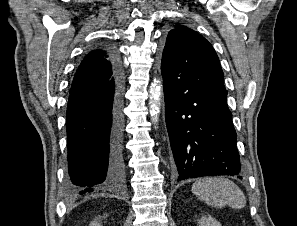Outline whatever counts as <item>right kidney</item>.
<instances>
[{
  "label": "right kidney",
  "instance_id": "obj_1",
  "mask_svg": "<svg viewBox=\"0 0 297 226\" xmlns=\"http://www.w3.org/2000/svg\"><path fill=\"white\" fill-rule=\"evenodd\" d=\"M90 226H101V225L97 220H95V221L91 222Z\"/></svg>",
  "mask_w": 297,
  "mask_h": 226
}]
</instances>
